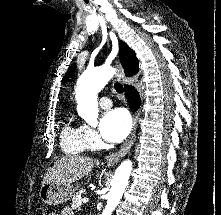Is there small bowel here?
Segmentation results:
<instances>
[{"label":"small bowel","instance_id":"small-bowel-1","mask_svg":"<svg viewBox=\"0 0 221 215\" xmlns=\"http://www.w3.org/2000/svg\"><path fill=\"white\" fill-rule=\"evenodd\" d=\"M60 215H74L73 211L71 210V208L69 207H65L62 211Z\"/></svg>","mask_w":221,"mask_h":215}]
</instances>
